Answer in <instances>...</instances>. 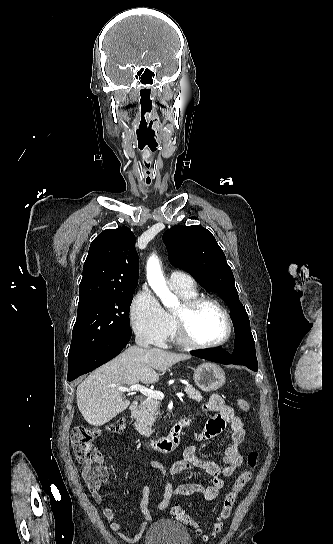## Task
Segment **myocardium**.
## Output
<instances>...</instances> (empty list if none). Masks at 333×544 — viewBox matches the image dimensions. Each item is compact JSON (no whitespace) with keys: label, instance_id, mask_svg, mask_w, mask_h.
Listing matches in <instances>:
<instances>
[{"label":"myocardium","instance_id":"obj_1","mask_svg":"<svg viewBox=\"0 0 333 544\" xmlns=\"http://www.w3.org/2000/svg\"><path fill=\"white\" fill-rule=\"evenodd\" d=\"M211 303L217 306L223 313L226 321L227 331L225 336L214 343H200L192 335L190 322L197 311L205 304ZM176 331L180 341L191 348L195 349H212L226 344L233 333V323L230 313L224 303L212 296L197 295L193 298L185 299L180 304L178 310L173 313Z\"/></svg>","mask_w":333,"mask_h":544}]
</instances>
